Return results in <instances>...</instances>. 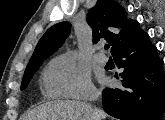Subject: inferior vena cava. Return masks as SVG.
<instances>
[{
	"label": "inferior vena cava",
	"instance_id": "1",
	"mask_svg": "<svg viewBox=\"0 0 165 120\" xmlns=\"http://www.w3.org/2000/svg\"><path fill=\"white\" fill-rule=\"evenodd\" d=\"M98 97H99V93L94 92L90 95V101H95L98 99Z\"/></svg>",
	"mask_w": 165,
	"mask_h": 120
}]
</instances>
